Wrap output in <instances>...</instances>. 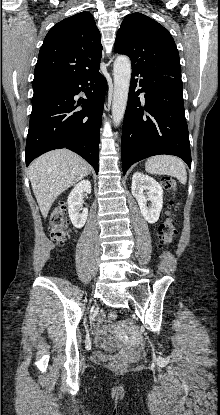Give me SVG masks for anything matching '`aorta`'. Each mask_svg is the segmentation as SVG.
Wrapping results in <instances>:
<instances>
[{"label":"aorta","mask_w":220,"mask_h":415,"mask_svg":"<svg viewBox=\"0 0 220 415\" xmlns=\"http://www.w3.org/2000/svg\"><path fill=\"white\" fill-rule=\"evenodd\" d=\"M113 75L114 93L112 103V118L114 125L118 126L125 114L131 79V61L127 56H117L114 61Z\"/></svg>","instance_id":"aorta-1"}]
</instances>
